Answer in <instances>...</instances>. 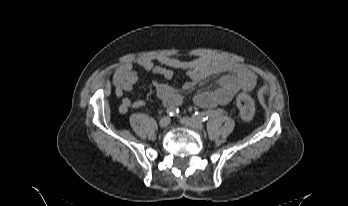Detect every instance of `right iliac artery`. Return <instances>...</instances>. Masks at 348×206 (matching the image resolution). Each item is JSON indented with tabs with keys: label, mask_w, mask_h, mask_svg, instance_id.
Wrapping results in <instances>:
<instances>
[{
	"label": "right iliac artery",
	"mask_w": 348,
	"mask_h": 206,
	"mask_svg": "<svg viewBox=\"0 0 348 206\" xmlns=\"http://www.w3.org/2000/svg\"><path fill=\"white\" fill-rule=\"evenodd\" d=\"M166 113L170 117L176 116L179 113V109L175 108V107H170V108L167 109Z\"/></svg>",
	"instance_id": "1"
}]
</instances>
